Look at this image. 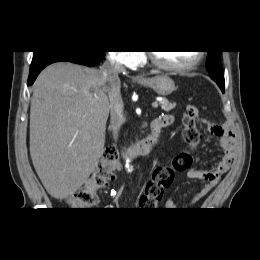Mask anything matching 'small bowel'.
Segmentation results:
<instances>
[{
  "instance_id": "obj_1",
  "label": "small bowel",
  "mask_w": 260,
  "mask_h": 260,
  "mask_svg": "<svg viewBox=\"0 0 260 260\" xmlns=\"http://www.w3.org/2000/svg\"><path fill=\"white\" fill-rule=\"evenodd\" d=\"M160 119L165 123V127L172 124L174 121V117L171 114H164ZM196 123H203L210 134L219 138L220 146L224 151V156L211 170H202L197 167H191L187 171L188 178L205 181L201 190L192 197L187 207L197 203L218 184L222 175H224L233 165L236 156L237 135L231 124L215 123L201 119L199 113L196 116ZM139 203L142 208H153L156 206L155 204L150 203L144 195L141 196ZM163 206L167 210H178L177 204L171 199H167Z\"/></svg>"
}]
</instances>
